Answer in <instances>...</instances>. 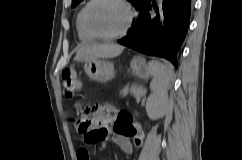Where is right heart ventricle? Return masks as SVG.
I'll use <instances>...</instances> for the list:
<instances>
[{
  "label": "right heart ventricle",
  "instance_id": "obj_1",
  "mask_svg": "<svg viewBox=\"0 0 242 160\" xmlns=\"http://www.w3.org/2000/svg\"><path fill=\"white\" fill-rule=\"evenodd\" d=\"M82 10L83 8L79 10L76 16V30H77L78 38L83 42H88L93 40L94 38L91 37L83 28L82 21H81Z\"/></svg>",
  "mask_w": 242,
  "mask_h": 160
}]
</instances>
